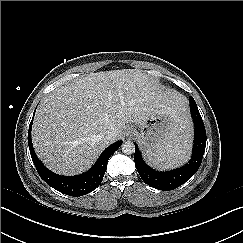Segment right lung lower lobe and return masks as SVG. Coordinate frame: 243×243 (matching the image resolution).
<instances>
[{"instance_id":"obj_1","label":"right lung lower lobe","mask_w":243,"mask_h":243,"mask_svg":"<svg viewBox=\"0 0 243 243\" xmlns=\"http://www.w3.org/2000/svg\"><path fill=\"white\" fill-rule=\"evenodd\" d=\"M32 121L28 131V145L32 161L39 176L52 188L69 196H83L92 192L100 185L107 168L110 156L119 148L122 141H118L107 149L98 158L95 165L86 173L77 176H61L48 170L37 158L31 140Z\"/></svg>"}]
</instances>
